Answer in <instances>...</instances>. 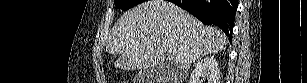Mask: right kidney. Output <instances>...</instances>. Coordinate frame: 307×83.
Masks as SVG:
<instances>
[{
    "label": "right kidney",
    "mask_w": 307,
    "mask_h": 83,
    "mask_svg": "<svg viewBox=\"0 0 307 83\" xmlns=\"http://www.w3.org/2000/svg\"><path fill=\"white\" fill-rule=\"evenodd\" d=\"M201 78L207 83H220L218 62L214 57H205L196 63L189 83H202Z\"/></svg>",
    "instance_id": "1"
}]
</instances>
